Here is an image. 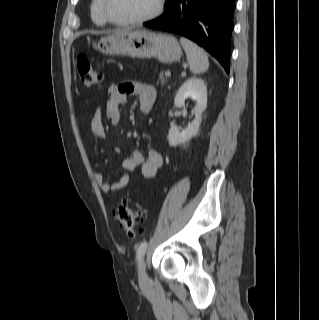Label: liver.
<instances>
[{"instance_id": "6515ba94", "label": "liver", "mask_w": 319, "mask_h": 320, "mask_svg": "<svg viewBox=\"0 0 319 320\" xmlns=\"http://www.w3.org/2000/svg\"><path fill=\"white\" fill-rule=\"evenodd\" d=\"M125 30H129V29H125ZM125 30H118V31H116V32H121V31H125Z\"/></svg>"}]
</instances>
